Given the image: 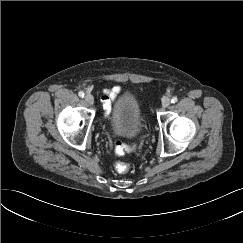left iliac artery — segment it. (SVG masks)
Returning a JSON list of instances; mask_svg holds the SVG:
<instances>
[{"label":"left iliac artery","mask_w":243,"mask_h":243,"mask_svg":"<svg viewBox=\"0 0 243 243\" xmlns=\"http://www.w3.org/2000/svg\"><path fill=\"white\" fill-rule=\"evenodd\" d=\"M178 101V98L176 96H174L172 99H171V103H176Z\"/></svg>","instance_id":"1"}]
</instances>
